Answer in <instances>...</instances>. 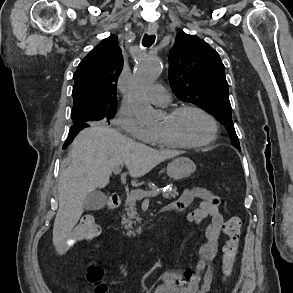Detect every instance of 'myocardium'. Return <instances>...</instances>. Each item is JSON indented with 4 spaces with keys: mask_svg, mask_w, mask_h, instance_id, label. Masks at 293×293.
Returning a JSON list of instances; mask_svg holds the SVG:
<instances>
[{
    "mask_svg": "<svg viewBox=\"0 0 293 293\" xmlns=\"http://www.w3.org/2000/svg\"><path fill=\"white\" fill-rule=\"evenodd\" d=\"M187 111H195V112L201 114L202 116H204L208 120V122L211 126V132H210V135L205 140H203L201 142H197V143H189V142L181 140L180 138L176 137L173 134L159 133L158 135L163 140L167 141L170 144L175 145L176 147L188 148V149L202 148V147H205V146L211 144L212 142H214L217 139L218 133H219L218 123H217L216 119L209 112L204 110L203 108L196 106V105H191V104L182 105V106H179V107H176V108L170 110L168 112L167 116L170 119H175Z\"/></svg>",
    "mask_w": 293,
    "mask_h": 293,
    "instance_id": "1",
    "label": "myocardium"
}]
</instances>
